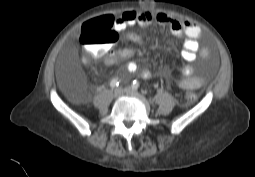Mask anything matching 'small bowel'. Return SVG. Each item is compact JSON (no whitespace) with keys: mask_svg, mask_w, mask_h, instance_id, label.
<instances>
[{"mask_svg":"<svg viewBox=\"0 0 255 177\" xmlns=\"http://www.w3.org/2000/svg\"><path fill=\"white\" fill-rule=\"evenodd\" d=\"M105 17L116 32L123 33L126 39L137 45L141 43L140 37L133 33H124L125 30L134 25L149 26L158 24L167 27L173 35L184 38L181 56L186 62L192 63L198 56L206 58L209 54V49L200 47L198 42L201 36L200 27L192 22L174 19L163 13L154 14L150 11L128 10L117 17L111 15H106ZM90 52L94 57L103 56L107 64H114L119 60L131 58L136 53V49L100 50L92 48ZM126 69L129 73L133 74L139 72V66L134 61H129L126 65ZM194 72L195 67L193 65H186L183 67L181 70V78L175 81V86L184 90L201 88L205 83V79L204 77L195 75ZM164 75H167V73L165 72ZM142 76L144 78H149L150 72L143 71Z\"/></svg>","mask_w":255,"mask_h":177,"instance_id":"c3829d8e","label":"small bowel"}]
</instances>
